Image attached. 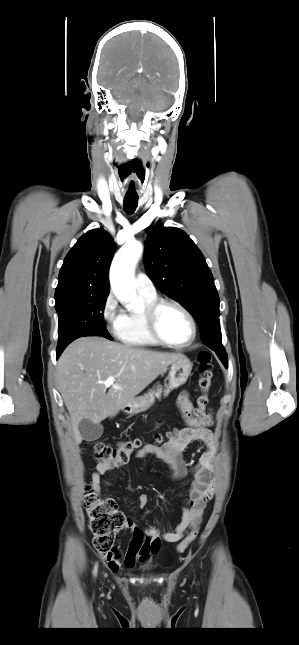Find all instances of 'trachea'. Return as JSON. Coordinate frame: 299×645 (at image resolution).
Wrapping results in <instances>:
<instances>
[{"instance_id":"trachea-1","label":"trachea","mask_w":299,"mask_h":645,"mask_svg":"<svg viewBox=\"0 0 299 645\" xmlns=\"http://www.w3.org/2000/svg\"><path fill=\"white\" fill-rule=\"evenodd\" d=\"M124 210L127 214H132L138 206V197L125 196L124 197Z\"/></svg>"}]
</instances>
